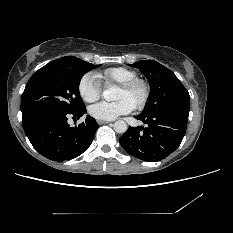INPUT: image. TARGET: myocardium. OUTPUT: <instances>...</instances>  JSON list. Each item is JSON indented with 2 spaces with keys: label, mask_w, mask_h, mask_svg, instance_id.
<instances>
[{
  "label": "myocardium",
  "mask_w": 233,
  "mask_h": 233,
  "mask_svg": "<svg viewBox=\"0 0 233 233\" xmlns=\"http://www.w3.org/2000/svg\"><path fill=\"white\" fill-rule=\"evenodd\" d=\"M119 87L128 92H135L136 90L140 91V97L134 104L136 109H143L148 104L151 97V87L145 79L135 77L131 80L120 83Z\"/></svg>",
  "instance_id": "1"
}]
</instances>
